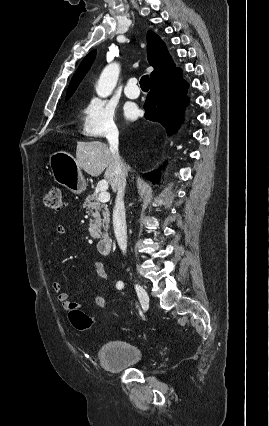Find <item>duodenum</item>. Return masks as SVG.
Returning <instances> with one entry per match:
<instances>
[{"mask_svg": "<svg viewBox=\"0 0 269 426\" xmlns=\"http://www.w3.org/2000/svg\"><path fill=\"white\" fill-rule=\"evenodd\" d=\"M112 238L110 235L102 236L97 243V248L100 254L108 255L111 253L112 249Z\"/></svg>", "mask_w": 269, "mask_h": 426, "instance_id": "1", "label": "duodenum"}]
</instances>
